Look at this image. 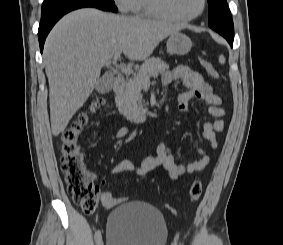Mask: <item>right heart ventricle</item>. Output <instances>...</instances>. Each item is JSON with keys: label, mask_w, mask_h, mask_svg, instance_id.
Returning a JSON list of instances; mask_svg holds the SVG:
<instances>
[{"label": "right heart ventricle", "mask_w": 283, "mask_h": 245, "mask_svg": "<svg viewBox=\"0 0 283 245\" xmlns=\"http://www.w3.org/2000/svg\"><path fill=\"white\" fill-rule=\"evenodd\" d=\"M131 11L135 14L142 16L160 18L158 15H156L153 11L149 9L146 0H133Z\"/></svg>", "instance_id": "right-heart-ventricle-1"}]
</instances>
